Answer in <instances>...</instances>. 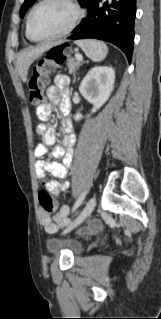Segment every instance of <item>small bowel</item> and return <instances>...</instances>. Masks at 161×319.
<instances>
[{"label":"small bowel","instance_id":"small-bowel-1","mask_svg":"<svg viewBox=\"0 0 161 319\" xmlns=\"http://www.w3.org/2000/svg\"><path fill=\"white\" fill-rule=\"evenodd\" d=\"M48 102L37 108L36 114L43 123L36 126V132L42 135L43 142L34 147V156L37 158L35 172L38 178H42L46 173L51 174L56 179L49 186L50 191L55 197L69 187L67 178V167L71 165L73 160V147L76 142V135L73 131L71 121L67 115L70 112V88L67 77L58 75L54 84L47 89ZM52 105H58L62 114L60 127L64 134V143L56 144V132L53 127L46 126L44 123L49 120ZM54 145L52 156L54 158H63V163L50 161L45 158L47 154V146ZM70 207L62 205L59 210L52 215L51 212L44 211L41 214V225L46 232H55L61 226L70 223L69 221ZM94 224L92 228H96Z\"/></svg>","mask_w":161,"mask_h":319}]
</instances>
